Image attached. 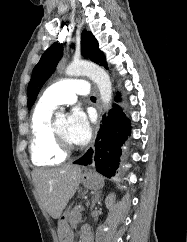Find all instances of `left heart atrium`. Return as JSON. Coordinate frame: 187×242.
Segmentation results:
<instances>
[{
    "instance_id": "obj_1",
    "label": "left heart atrium",
    "mask_w": 187,
    "mask_h": 242,
    "mask_svg": "<svg viewBox=\"0 0 187 242\" xmlns=\"http://www.w3.org/2000/svg\"><path fill=\"white\" fill-rule=\"evenodd\" d=\"M91 135V128L86 114L81 109H74L67 120L66 137L71 144H85Z\"/></svg>"
}]
</instances>
